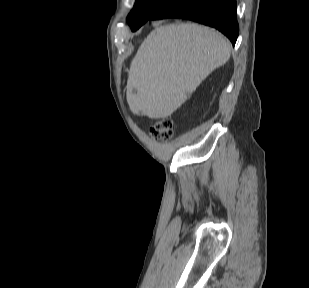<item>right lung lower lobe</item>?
Here are the masks:
<instances>
[{
	"instance_id": "obj_1",
	"label": "right lung lower lobe",
	"mask_w": 309,
	"mask_h": 288,
	"mask_svg": "<svg viewBox=\"0 0 309 288\" xmlns=\"http://www.w3.org/2000/svg\"><path fill=\"white\" fill-rule=\"evenodd\" d=\"M182 18L214 27L235 45L239 27L236 0H175L154 14L150 20Z\"/></svg>"
}]
</instances>
